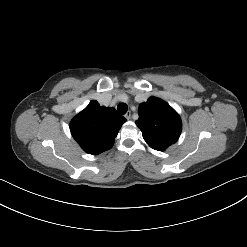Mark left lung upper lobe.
Instances as JSON below:
<instances>
[{
    "mask_svg": "<svg viewBox=\"0 0 247 247\" xmlns=\"http://www.w3.org/2000/svg\"><path fill=\"white\" fill-rule=\"evenodd\" d=\"M136 125L141 129L146 143L153 149L164 151L176 143L182 130L177 112L165 101L150 97L140 104Z\"/></svg>",
    "mask_w": 247,
    "mask_h": 247,
    "instance_id": "obj_1",
    "label": "left lung upper lobe"
}]
</instances>
